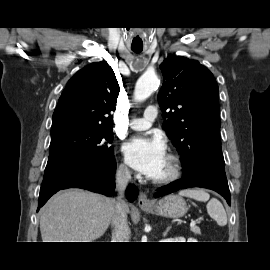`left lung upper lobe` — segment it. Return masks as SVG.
I'll list each match as a JSON object with an SVG mask.
<instances>
[{"label": "left lung upper lobe", "instance_id": "left-lung-upper-lobe-1", "mask_svg": "<svg viewBox=\"0 0 270 270\" xmlns=\"http://www.w3.org/2000/svg\"><path fill=\"white\" fill-rule=\"evenodd\" d=\"M164 83L158 102L163 129L193 167L208 157L223 158L220 141L218 86L213 74L196 60L168 56L160 65Z\"/></svg>", "mask_w": 270, "mask_h": 270}]
</instances>
